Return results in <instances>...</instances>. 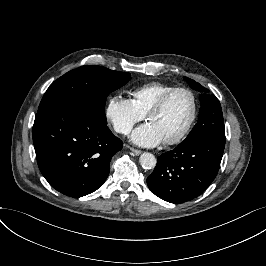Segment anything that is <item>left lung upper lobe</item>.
<instances>
[{"instance_id":"1","label":"left lung upper lobe","mask_w":266,"mask_h":266,"mask_svg":"<svg viewBox=\"0 0 266 266\" xmlns=\"http://www.w3.org/2000/svg\"><path fill=\"white\" fill-rule=\"evenodd\" d=\"M191 88L201 92L199 99L201 102L198 122L180 144L189 143L195 139L205 136H217L225 138V128L221 105L216 96L208 94L209 90L196 81L186 78Z\"/></svg>"}]
</instances>
